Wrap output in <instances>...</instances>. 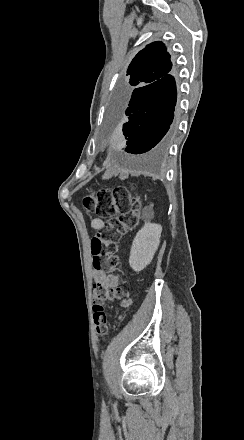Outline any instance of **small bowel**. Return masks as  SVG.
<instances>
[{
    "label": "small bowel",
    "instance_id": "small-bowel-1",
    "mask_svg": "<svg viewBox=\"0 0 244 440\" xmlns=\"http://www.w3.org/2000/svg\"><path fill=\"white\" fill-rule=\"evenodd\" d=\"M104 222L99 218H94L91 220V227L94 230H99L103 227ZM92 279L95 285L102 284L109 287H115L118 285V277L114 274H109L103 269L94 268L92 272ZM132 304L131 299H126L121 302L123 307H128Z\"/></svg>",
    "mask_w": 244,
    "mask_h": 440
}]
</instances>
